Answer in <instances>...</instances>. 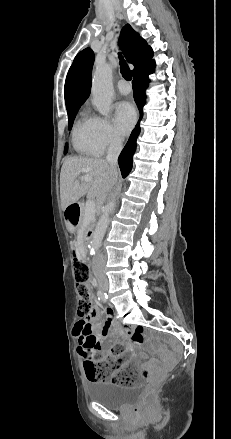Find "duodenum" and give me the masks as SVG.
<instances>
[{
    "label": "duodenum",
    "mask_w": 231,
    "mask_h": 439,
    "mask_svg": "<svg viewBox=\"0 0 231 439\" xmlns=\"http://www.w3.org/2000/svg\"><path fill=\"white\" fill-rule=\"evenodd\" d=\"M93 232L92 231H88L86 233V240H89L92 237Z\"/></svg>",
    "instance_id": "410a0bca"
}]
</instances>
